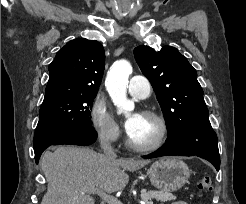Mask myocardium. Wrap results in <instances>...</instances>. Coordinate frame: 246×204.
<instances>
[{
	"mask_svg": "<svg viewBox=\"0 0 246 204\" xmlns=\"http://www.w3.org/2000/svg\"><path fill=\"white\" fill-rule=\"evenodd\" d=\"M143 116L154 119L159 126V132L155 140L148 144H138L134 142L129 135L126 138V145L132 150L138 152H152L159 149L166 141L168 135V124L166 119L160 113L153 110H145L142 112Z\"/></svg>",
	"mask_w": 246,
	"mask_h": 204,
	"instance_id": "f54148a6",
	"label": "myocardium"
}]
</instances>
